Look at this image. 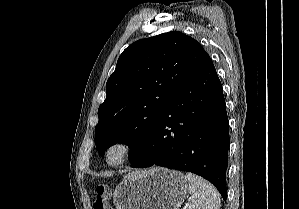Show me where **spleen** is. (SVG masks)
Listing matches in <instances>:
<instances>
[{"instance_id": "spleen-1", "label": "spleen", "mask_w": 299, "mask_h": 209, "mask_svg": "<svg viewBox=\"0 0 299 209\" xmlns=\"http://www.w3.org/2000/svg\"><path fill=\"white\" fill-rule=\"evenodd\" d=\"M185 177L192 194L188 209H220V194L210 182L190 172Z\"/></svg>"}]
</instances>
